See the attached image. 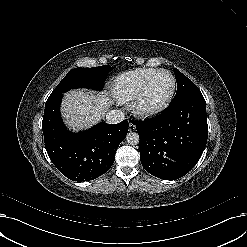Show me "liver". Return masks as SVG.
Masks as SVG:
<instances>
[{"label": "liver", "instance_id": "liver-1", "mask_svg": "<svg viewBox=\"0 0 247 247\" xmlns=\"http://www.w3.org/2000/svg\"><path fill=\"white\" fill-rule=\"evenodd\" d=\"M112 104L106 91L72 90L65 94L61 112L66 124L78 130L96 124Z\"/></svg>", "mask_w": 247, "mask_h": 247}]
</instances>
